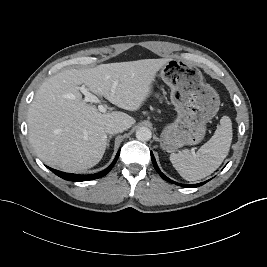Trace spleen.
<instances>
[{"label":"spleen","instance_id":"3e777b00","mask_svg":"<svg viewBox=\"0 0 267 267\" xmlns=\"http://www.w3.org/2000/svg\"><path fill=\"white\" fill-rule=\"evenodd\" d=\"M232 137L231 119L223 116L214 135L196 153H190L188 150L172 153L170 161L185 180L203 179L222 164L228 155Z\"/></svg>","mask_w":267,"mask_h":267}]
</instances>
